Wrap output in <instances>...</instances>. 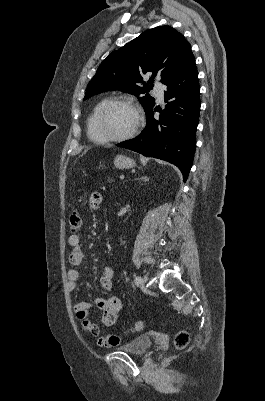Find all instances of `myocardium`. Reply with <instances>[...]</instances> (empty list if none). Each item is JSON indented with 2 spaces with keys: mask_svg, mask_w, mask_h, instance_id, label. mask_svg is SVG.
I'll return each mask as SVG.
<instances>
[{
  "mask_svg": "<svg viewBox=\"0 0 265 401\" xmlns=\"http://www.w3.org/2000/svg\"><path fill=\"white\" fill-rule=\"evenodd\" d=\"M119 104H124V105H128L130 107H132L135 110L136 113V121L134 126L132 127L131 130H129L127 133L120 135V136H116V137H102L98 134L97 132V128H98V123L99 120L101 118V116L103 115V113L105 111H107L110 107L115 106V105H119ZM144 120V116H143V112L140 109V107L133 102L130 99H126V98H117V99H111V100H107L105 101L102 106L97 110V112L95 113L92 122H91V134L94 136L95 140L99 143H108V142H120V141H124L126 139L131 138L132 136H134L140 126L142 125Z\"/></svg>",
  "mask_w": 265,
  "mask_h": 401,
  "instance_id": "f54148a6",
  "label": "myocardium"
}]
</instances>
